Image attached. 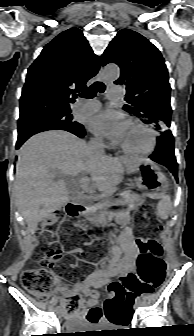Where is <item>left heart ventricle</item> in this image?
<instances>
[{
	"label": "left heart ventricle",
	"instance_id": "obj_1",
	"mask_svg": "<svg viewBox=\"0 0 194 336\" xmlns=\"http://www.w3.org/2000/svg\"><path fill=\"white\" fill-rule=\"evenodd\" d=\"M149 134L140 127L127 123L120 145L133 151L144 150L149 146Z\"/></svg>",
	"mask_w": 194,
	"mask_h": 336
}]
</instances>
